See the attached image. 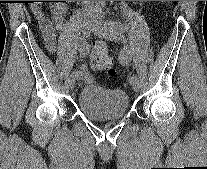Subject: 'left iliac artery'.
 Listing matches in <instances>:
<instances>
[{"mask_svg": "<svg viewBox=\"0 0 207 169\" xmlns=\"http://www.w3.org/2000/svg\"><path fill=\"white\" fill-rule=\"evenodd\" d=\"M113 27L120 33H123L124 27L117 23V22H112ZM130 55V46H123V49H121V53H119V58H120V64H122V68H127V64H129V56ZM138 77L136 75H132L129 78V82L137 80Z\"/></svg>", "mask_w": 207, "mask_h": 169, "instance_id": "44dca946", "label": "left iliac artery"}]
</instances>
